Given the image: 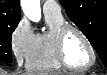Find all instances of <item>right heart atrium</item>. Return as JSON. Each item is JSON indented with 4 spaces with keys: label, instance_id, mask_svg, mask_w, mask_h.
<instances>
[{
    "label": "right heart atrium",
    "instance_id": "d8ad5b80",
    "mask_svg": "<svg viewBox=\"0 0 107 75\" xmlns=\"http://www.w3.org/2000/svg\"><path fill=\"white\" fill-rule=\"evenodd\" d=\"M35 36L30 23L25 18L14 27L10 37V48L18 65L27 63Z\"/></svg>",
    "mask_w": 107,
    "mask_h": 75
}]
</instances>
